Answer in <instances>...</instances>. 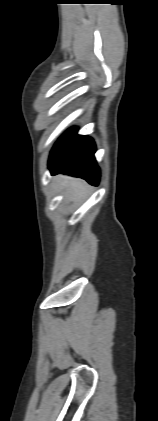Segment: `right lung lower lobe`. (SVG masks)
I'll return each instance as SVG.
<instances>
[{
	"label": "right lung lower lobe",
	"mask_w": 158,
	"mask_h": 421,
	"mask_svg": "<svg viewBox=\"0 0 158 421\" xmlns=\"http://www.w3.org/2000/svg\"><path fill=\"white\" fill-rule=\"evenodd\" d=\"M96 146L87 136L77 135V129L67 130L54 145L49 169L52 175L63 173L86 179L97 186L100 172L94 158Z\"/></svg>",
	"instance_id": "98d812e1"
}]
</instances>
